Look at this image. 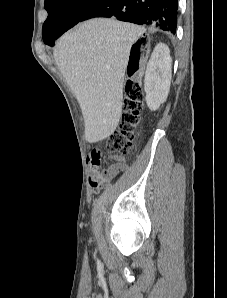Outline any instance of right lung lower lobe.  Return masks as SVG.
Wrapping results in <instances>:
<instances>
[{
	"mask_svg": "<svg viewBox=\"0 0 227 298\" xmlns=\"http://www.w3.org/2000/svg\"><path fill=\"white\" fill-rule=\"evenodd\" d=\"M177 9V0H100L81 21L94 17H114L139 25L153 24L164 31L175 33ZM64 32L55 31L46 44L53 46L54 40Z\"/></svg>",
	"mask_w": 227,
	"mask_h": 298,
	"instance_id": "98d812e1",
	"label": "right lung lower lobe"
}]
</instances>
